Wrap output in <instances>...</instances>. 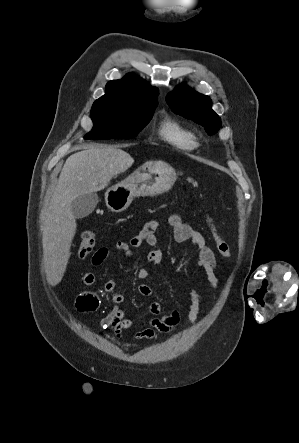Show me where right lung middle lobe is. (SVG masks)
<instances>
[{
  "label": "right lung middle lobe",
  "instance_id": "dd1d6c3e",
  "mask_svg": "<svg viewBox=\"0 0 299 443\" xmlns=\"http://www.w3.org/2000/svg\"><path fill=\"white\" fill-rule=\"evenodd\" d=\"M157 105L139 106L117 101H95L91 109L93 129L85 139H130L152 118Z\"/></svg>",
  "mask_w": 299,
  "mask_h": 443
}]
</instances>
